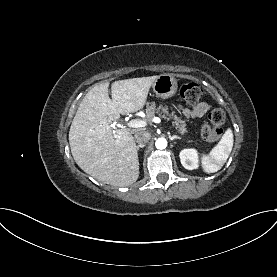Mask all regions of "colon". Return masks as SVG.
I'll use <instances>...</instances> for the list:
<instances>
[{"label":"colon","mask_w":277,"mask_h":277,"mask_svg":"<svg viewBox=\"0 0 277 277\" xmlns=\"http://www.w3.org/2000/svg\"><path fill=\"white\" fill-rule=\"evenodd\" d=\"M179 95L186 102L193 104L200 100L202 89L196 83H184L179 87ZM225 118L224 110L219 107L213 108L209 112L201 130V137L206 143H213L222 135Z\"/></svg>","instance_id":"obj_1"}]
</instances>
